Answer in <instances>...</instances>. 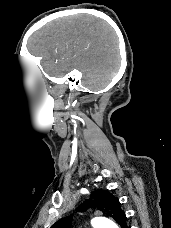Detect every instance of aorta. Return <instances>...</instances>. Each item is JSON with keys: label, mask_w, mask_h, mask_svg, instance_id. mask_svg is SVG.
I'll list each match as a JSON object with an SVG mask.
<instances>
[{"label": "aorta", "mask_w": 171, "mask_h": 228, "mask_svg": "<svg viewBox=\"0 0 171 228\" xmlns=\"http://www.w3.org/2000/svg\"><path fill=\"white\" fill-rule=\"evenodd\" d=\"M93 228H118L116 223L105 217H96L91 221Z\"/></svg>", "instance_id": "obj_1"}]
</instances>
